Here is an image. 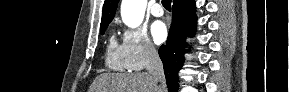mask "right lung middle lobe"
Wrapping results in <instances>:
<instances>
[{"mask_svg": "<svg viewBox=\"0 0 289 92\" xmlns=\"http://www.w3.org/2000/svg\"><path fill=\"white\" fill-rule=\"evenodd\" d=\"M107 26L108 25L101 27V34H104L105 30L107 29Z\"/></svg>", "mask_w": 289, "mask_h": 92, "instance_id": "1", "label": "right lung middle lobe"}]
</instances>
